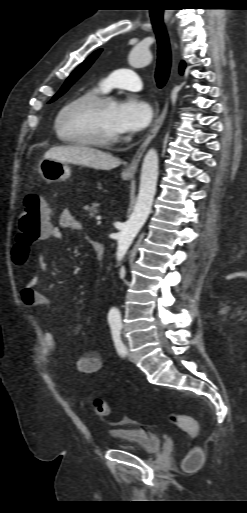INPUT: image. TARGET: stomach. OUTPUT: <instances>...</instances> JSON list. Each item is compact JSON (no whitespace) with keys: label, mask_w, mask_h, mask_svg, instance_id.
I'll return each instance as SVG.
<instances>
[{"label":"stomach","mask_w":247,"mask_h":513,"mask_svg":"<svg viewBox=\"0 0 247 513\" xmlns=\"http://www.w3.org/2000/svg\"><path fill=\"white\" fill-rule=\"evenodd\" d=\"M38 172L48 183L61 182L69 178L71 172L66 162H60L51 158H44L40 161ZM131 177L122 174L123 180H129Z\"/></svg>","instance_id":"stomach-1"}]
</instances>
